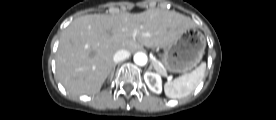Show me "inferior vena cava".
Segmentation results:
<instances>
[{"label":"inferior vena cava","instance_id":"602c4592","mask_svg":"<svg viewBox=\"0 0 276 120\" xmlns=\"http://www.w3.org/2000/svg\"><path fill=\"white\" fill-rule=\"evenodd\" d=\"M129 56H130V52L129 51H127L125 49H121V50H118L114 54L113 61L115 63H118V62H121V61L127 59Z\"/></svg>","mask_w":276,"mask_h":120}]
</instances>
